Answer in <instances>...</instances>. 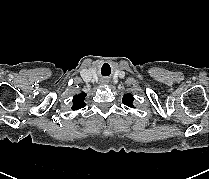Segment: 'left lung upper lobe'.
<instances>
[{
  "mask_svg": "<svg viewBox=\"0 0 209 179\" xmlns=\"http://www.w3.org/2000/svg\"><path fill=\"white\" fill-rule=\"evenodd\" d=\"M123 103L129 107L132 106V102L134 101V98L131 94L124 95L122 99Z\"/></svg>",
  "mask_w": 209,
  "mask_h": 179,
  "instance_id": "1",
  "label": "left lung upper lobe"
}]
</instances>
